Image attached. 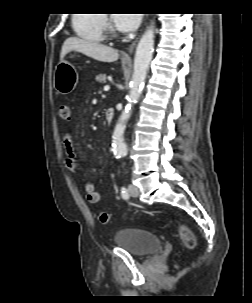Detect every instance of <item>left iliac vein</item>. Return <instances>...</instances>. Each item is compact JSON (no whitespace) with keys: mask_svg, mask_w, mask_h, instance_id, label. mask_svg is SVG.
<instances>
[{"mask_svg":"<svg viewBox=\"0 0 252 303\" xmlns=\"http://www.w3.org/2000/svg\"><path fill=\"white\" fill-rule=\"evenodd\" d=\"M128 191L132 197H137L139 195V190H138L137 186H135L133 184H130L128 186Z\"/></svg>","mask_w":252,"mask_h":303,"instance_id":"obj_1","label":"left iliac vein"}]
</instances>
